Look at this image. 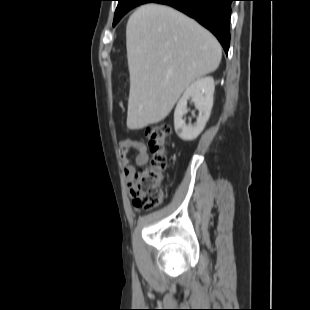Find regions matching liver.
Returning <instances> with one entry per match:
<instances>
[{
	"instance_id": "liver-1",
	"label": "liver",
	"mask_w": 310,
	"mask_h": 310,
	"mask_svg": "<svg viewBox=\"0 0 310 310\" xmlns=\"http://www.w3.org/2000/svg\"><path fill=\"white\" fill-rule=\"evenodd\" d=\"M126 47L130 130L165 119L184 90L214 72L222 57L221 46L209 31L179 11L153 3L130 16Z\"/></svg>"
}]
</instances>
